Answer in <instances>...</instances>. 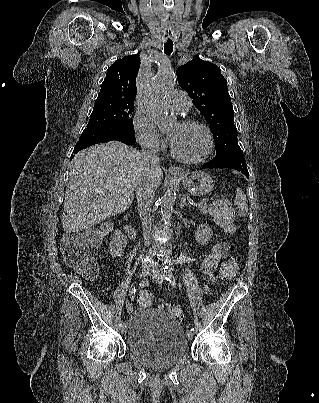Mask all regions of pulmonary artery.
I'll use <instances>...</instances> for the list:
<instances>
[{
	"mask_svg": "<svg viewBox=\"0 0 319 403\" xmlns=\"http://www.w3.org/2000/svg\"><path fill=\"white\" fill-rule=\"evenodd\" d=\"M167 102L169 107L178 113L186 112L190 106V98L179 90L170 93Z\"/></svg>",
	"mask_w": 319,
	"mask_h": 403,
	"instance_id": "obj_1",
	"label": "pulmonary artery"
}]
</instances>
